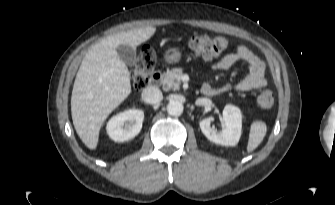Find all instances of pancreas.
<instances>
[{
	"label": "pancreas",
	"mask_w": 335,
	"mask_h": 205,
	"mask_svg": "<svg viewBox=\"0 0 335 205\" xmlns=\"http://www.w3.org/2000/svg\"><path fill=\"white\" fill-rule=\"evenodd\" d=\"M183 75V70L181 68H173L167 70L165 73L162 84L165 91L178 90L181 84V76Z\"/></svg>",
	"instance_id": "obj_1"
}]
</instances>
